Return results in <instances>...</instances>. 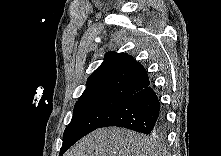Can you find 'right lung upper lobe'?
Here are the masks:
<instances>
[{"mask_svg":"<svg viewBox=\"0 0 221 156\" xmlns=\"http://www.w3.org/2000/svg\"><path fill=\"white\" fill-rule=\"evenodd\" d=\"M149 87L146 70L132 56L107 53L103 63L89 76L80 98L115 97L128 99Z\"/></svg>","mask_w":221,"mask_h":156,"instance_id":"1","label":"right lung upper lobe"}]
</instances>
